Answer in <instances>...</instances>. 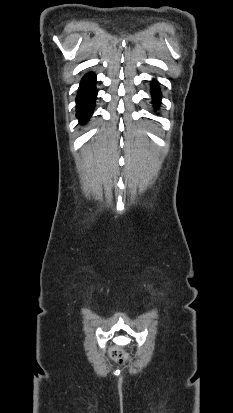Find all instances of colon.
<instances>
[{"label":"colon","instance_id":"5ec220e1","mask_svg":"<svg viewBox=\"0 0 233 413\" xmlns=\"http://www.w3.org/2000/svg\"><path fill=\"white\" fill-rule=\"evenodd\" d=\"M119 357H120V359H122V358H123V356H122V355H119Z\"/></svg>","mask_w":233,"mask_h":413}]
</instances>
